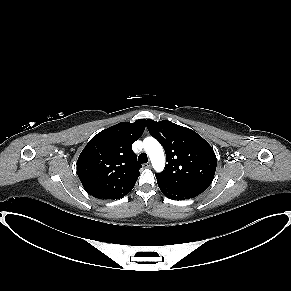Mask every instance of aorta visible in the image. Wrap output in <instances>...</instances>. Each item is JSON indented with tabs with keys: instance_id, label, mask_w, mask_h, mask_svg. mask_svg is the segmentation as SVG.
<instances>
[{
	"instance_id": "aorta-1",
	"label": "aorta",
	"mask_w": 291,
	"mask_h": 291,
	"mask_svg": "<svg viewBox=\"0 0 291 291\" xmlns=\"http://www.w3.org/2000/svg\"><path fill=\"white\" fill-rule=\"evenodd\" d=\"M143 144L154 170L161 172L165 166L164 151L161 144L153 137H146Z\"/></svg>"
}]
</instances>
